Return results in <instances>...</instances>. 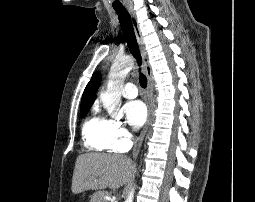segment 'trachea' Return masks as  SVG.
<instances>
[{"label":"trachea","instance_id":"obj_1","mask_svg":"<svg viewBox=\"0 0 255 202\" xmlns=\"http://www.w3.org/2000/svg\"><path fill=\"white\" fill-rule=\"evenodd\" d=\"M119 21L120 26L123 32V35L125 37V40L127 42L128 48L131 52V54L136 58L138 65H141V56L140 51L138 48V43L136 40L135 32L131 23V17L130 14L127 12L125 8H117L115 9ZM139 83L142 88H146L147 86V78L144 74L140 72L139 75Z\"/></svg>","mask_w":255,"mask_h":202}]
</instances>
